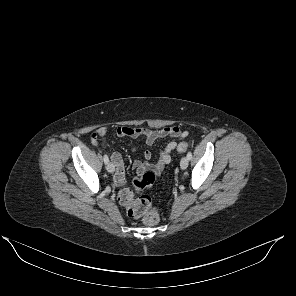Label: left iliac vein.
I'll return each instance as SVG.
<instances>
[{
	"label": "left iliac vein",
	"mask_w": 296,
	"mask_h": 296,
	"mask_svg": "<svg viewBox=\"0 0 296 296\" xmlns=\"http://www.w3.org/2000/svg\"><path fill=\"white\" fill-rule=\"evenodd\" d=\"M188 158L187 157H182L181 161H180V167L181 169H186L188 167Z\"/></svg>",
	"instance_id": "4c4485c4"
}]
</instances>
